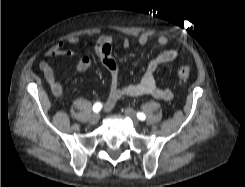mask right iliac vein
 <instances>
[{
    "label": "right iliac vein",
    "mask_w": 245,
    "mask_h": 187,
    "mask_svg": "<svg viewBox=\"0 0 245 187\" xmlns=\"http://www.w3.org/2000/svg\"><path fill=\"white\" fill-rule=\"evenodd\" d=\"M100 119V115L98 113H95L93 115H91L90 119H89V122L90 124H96Z\"/></svg>",
    "instance_id": "63e3f726"
}]
</instances>
